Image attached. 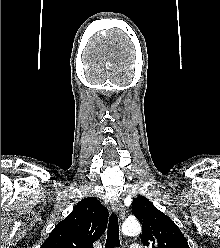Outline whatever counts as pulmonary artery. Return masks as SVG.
Listing matches in <instances>:
<instances>
[{"label":"pulmonary artery","instance_id":"1","mask_svg":"<svg viewBox=\"0 0 220 248\" xmlns=\"http://www.w3.org/2000/svg\"><path fill=\"white\" fill-rule=\"evenodd\" d=\"M129 248H143L140 244H131Z\"/></svg>","mask_w":220,"mask_h":248}]
</instances>
